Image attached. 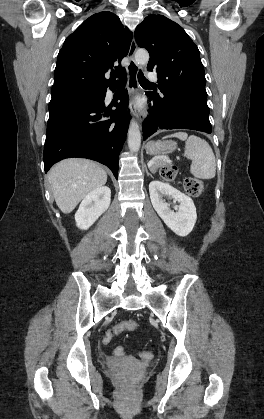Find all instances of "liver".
Segmentation results:
<instances>
[{"label":"liver","instance_id":"obj_1","mask_svg":"<svg viewBox=\"0 0 264 419\" xmlns=\"http://www.w3.org/2000/svg\"><path fill=\"white\" fill-rule=\"evenodd\" d=\"M48 179L57 206L68 214L91 191L105 185L107 173L96 162L70 158L54 165L48 173Z\"/></svg>","mask_w":264,"mask_h":419}]
</instances>
